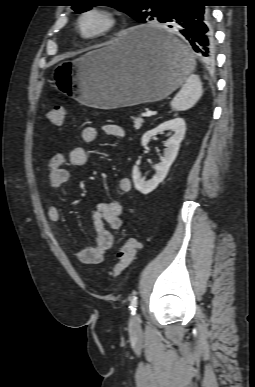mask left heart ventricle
I'll return each instance as SVG.
<instances>
[{"label": "left heart ventricle", "instance_id": "left-heart-ventricle-1", "mask_svg": "<svg viewBox=\"0 0 255 387\" xmlns=\"http://www.w3.org/2000/svg\"><path fill=\"white\" fill-rule=\"evenodd\" d=\"M99 25V20L94 18V17H90L88 19L85 20V23H84V26H85V29L87 31H92L93 29H95L97 26Z\"/></svg>", "mask_w": 255, "mask_h": 387}]
</instances>
